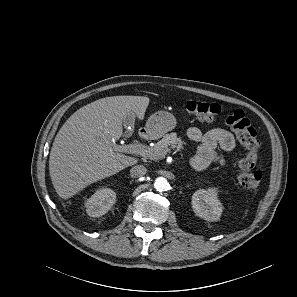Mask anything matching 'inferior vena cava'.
I'll return each instance as SVG.
<instances>
[{
    "label": "inferior vena cava",
    "instance_id": "1",
    "mask_svg": "<svg viewBox=\"0 0 297 297\" xmlns=\"http://www.w3.org/2000/svg\"><path fill=\"white\" fill-rule=\"evenodd\" d=\"M146 173H147V169L143 165H136V166L132 167L130 170V175L133 178L141 177V176L145 175Z\"/></svg>",
    "mask_w": 297,
    "mask_h": 297
}]
</instances>
